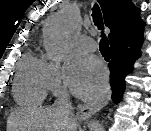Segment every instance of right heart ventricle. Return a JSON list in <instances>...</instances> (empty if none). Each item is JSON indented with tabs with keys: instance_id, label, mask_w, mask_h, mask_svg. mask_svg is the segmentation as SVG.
I'll return each mask as SVG.
<instances>
[{
	"instance_id": "right-heart-ventricle-1",
	"label": "right heart ventricle",
	"mask_w": 151,
	"mask_h": 131,
	"mask_svg": "<svg viewBox=\"0 0 151 131\" xmlns=\"http://www.w3.org/2000/svg\"><path fill=\"white\" fill-rule=\"evenodd\" d=\"M48 91L46 62L32 53H26L16 73L13 95L17 103L35 106L43 102Z\"/></svg>"
}]
</instances>
